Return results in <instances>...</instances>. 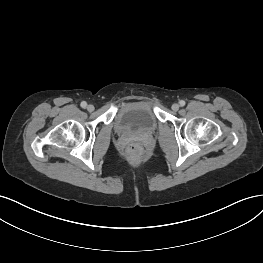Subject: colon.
Here are the masks:
<instances>
[{
	"instance_id": "colon-1",
	"label": "colon",
	"mask_w": 263,
	"mask_h": 263,
	"mask_svg": "<svg viewBox=\"0 0 263 263\" xmlns=\"http://www.w3.org/2000/svg\"><path fill=\"white\" fill-rule=\"evenodd\" d=\"M125 154L129 161L138 162L143 157V148L137 142H130L125 147Z\"/></svg>"
}]
</instances>
